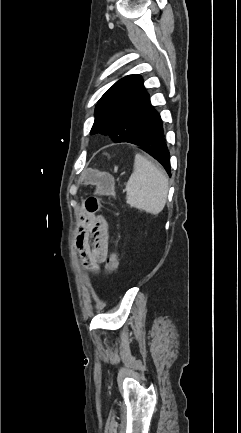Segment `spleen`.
<instances>
[{
	"label": "spleen",
	"mask_w": 241,
	"mask_h": 433,
	"mask_svg": "<svg viewBox=\"0 0 241 433\" xmlns=\"http://www.w3.org/2000/svg\"><path fill=\"white\" fill-rule=\"evenodd\" d=\"M168 188V178L164 170L141 154H136L134 172L126 184L128 204L157 215L165 207Z\"/></svg>",
	"instance_id": "obj_1"
}]
</instances>
